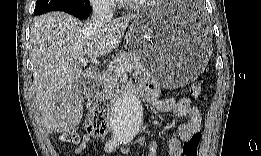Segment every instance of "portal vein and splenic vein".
I'll use <instances>...</instances> for the list:
<instances>
[{"mask_svg": "<svg viewBox=\"0 0 261 156\" xmlns=\"http://www.w3.org/2000/svg\"><path fill=\"white\" fill-rule=\"evenodd\" d=\"M92 58V57H91ZM79 63L83 64L87 61L86 58L84 57H80L79 58ZM112 70L115 72V74L117 76L122 75L124 72H129L133 70V65L131 64H126V65H115V66H111Z\"/></svg>", "mask_w": 261, "mask_h": 156, "instance_id": "18ae733b", "label": "portal vein and splenic vein"}]
</instances>
